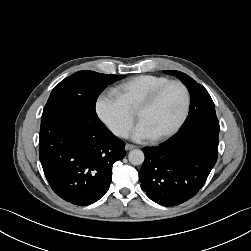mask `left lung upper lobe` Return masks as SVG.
Segmentation results:
<instances>
[{
	"mask_svg": "<svg viewBox=\"0 0 251 251\" xmlns=\"http://www.w3.org/2000/svg\"><path fill=\"white\" fill-rule=\"evenodd\" d=\"M163 72L178 77L190 92V111L182 129L202 122L219 123L213 100L202 85L198 84L185 73L175 70H166Z\"/></svg>",
	"mask_w": 251,
	"mask_h": 251,
	"instance_id": "left-lung-upper-lobe-1",
	"label": "left lung upper lobe"
}]
</instances>
